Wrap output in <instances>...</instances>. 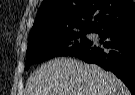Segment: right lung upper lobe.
I'll return each instance as SVG.
<instances>
[{"label":"right lung upper lobe","mask_w":135,"mask_h":95,"mask_svg":"<svg viewBox=\"0 0 135 95\" xmlns=\"http://www.w3.org/2000/svg\"><path fill=\"white\" fill-rule=\"evenodd\" d=\"M134 14L135 4L132 0H43L31 36L95 30L107 21Z\"/></svg>","instance_id":"right-lung-upper-lobe-1"}]
</instances>
